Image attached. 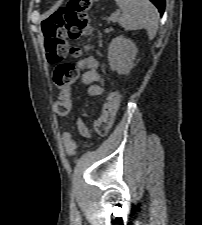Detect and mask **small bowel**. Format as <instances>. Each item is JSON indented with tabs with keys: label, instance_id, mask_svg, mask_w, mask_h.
Returning a JSON list of instances; mask_svg holds the SVG:
<instances>
[{
	"label": "small bowel",
	"instance_id": "small-bowel-1",
	"mask_svg": "<svg viewBox=\"0 0 202 225\" xmlns=\"http://www.w3.org/2000/svg\"><path fill=\"white\" fill-rule=\"evenodd\" d=\"M79 67L81 69L86 67L87 69L82 71L78 84L87 85L89 87V92L93 95L100 94L101 87L97 84L101 82V78L98 72L97 61L94 58L90 57L81 61ZM76 126L79 134L83 136H86L88 134L87 126L82 120H79ZM64 137H68V135L65 134Z\"/></svg>",
	"mask_w": 202,
	"mask_h": 225
}]
</instances>
